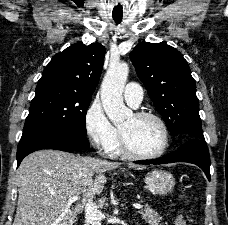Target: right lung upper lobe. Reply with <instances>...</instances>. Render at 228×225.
I'll return each mask as SVG.
<instances>
[{"instance_id": "right-lung-upper-lobe-1", "label": "right lung upper lobe", "mask_w": 228, "mask_h": 225, "mask_svg": "<svg viewBox=\"0 0 228 225\" xmlns=\"http://www.w3.org/2000/svg\"><path fill=\"white\" fill-rule=\"evenodd\" d=\"M104 55L105 48L99 43H75L52 58L37 86L59 85L91 95L99 82Z\"/></svg>"}]
</instances>
